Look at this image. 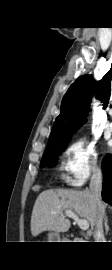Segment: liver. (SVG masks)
Listing matches in <instances>:
<instances>
[{
	"label": "liver",
	"instance_id": "liver-1",
	"mask_svg": "<svg viewBox=\"0 0 112 270\" xmlns=\"http://www.w3.org/2000/svg\"><path fill=\"white\" fill-rule=\"evenodd\" d=\"M103 206L106 207L105 204ZM68 210L86 219L94 229L97 218L96 204L89 190L49 189L41 192L34 203L30 224L32 236L43 231H68L71 222L64 215Z\"/></svg>",
	"mask_w": 112,
	"mask_h": 270
}]
</instances>
